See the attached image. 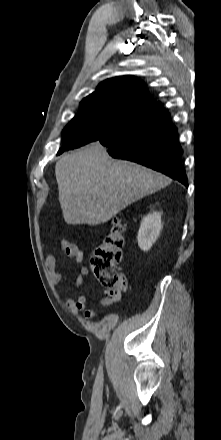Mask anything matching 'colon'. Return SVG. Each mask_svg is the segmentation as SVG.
<instances>
[{
    "label": "colon",
    "mask_w": 221,
    "mask_h": 440,
    "mask_svg": "<svg viewBox=\"0 0 221 440\" xmlns=\"http://www.w3.org/2000/svg\"><path fill=\"white\" fill-rule=\"evenodd\" d=\"M123 247L124 228L120 222L115 221L102 242L96 246L91 258V266L100 285L120 294L126 288V279L117 270L122 260Z\"/></svg>",
    "instance_id": "obj_1"
}]
</instances>
